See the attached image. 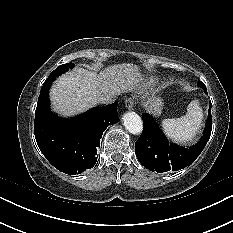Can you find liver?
Returning a JSON list of instances; mask_svg holds the SVG:
<instances>
[{"label": "liver", "instance_id": "6515ba94", "mask_svg": "<svg viewBox=\"0 0 233 233\" xmlns=\"http://www.w3.org/2000/svg\"><path fill=\"white\" fill-rule=\"evenodd\" d=\"M141 80L138 67L131 63L109 66L99 74L77 68L55 81L50 91L52 108L72 116L95 106L100 95L132 91Z\"/></svg>", "mask_w": 233, "mask_h": 233}]
</instances>
